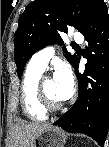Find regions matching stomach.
<instances>
[{
    "mask_svg": "<svg viewBox=\"0 0 109 147\" xmlns=\"http://www.w3.org/2000/svg\"><path fill=\"white\" fill-rule=\"evenodd\" d=\"M68 135L58 127L44 131L34 142V147H64Z\"/></svg>",
    "mask_w": 109,
    "mask_h": 147,
    "instance_id": "obj_1",
    "label": "stomach"
}]
</instances>
